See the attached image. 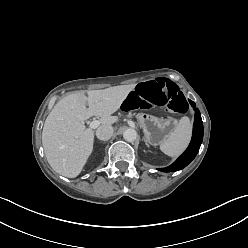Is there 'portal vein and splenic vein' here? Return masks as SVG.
<instances>
[{
	"label": "portal vein and splenic vein",
	"mask_w": 248,
	"mask_h": 248,
	"mask_svg": "<svg viewBox=\"0 0 248 248\" xmlns=\"http://www.w3.org/2000/svg\"><path fill=\"white\" fill-rule=\"evenodd\" d=\"M100 121L99 120H94V121H92L90 124H89V127L91 128V129H96L99 125H100Z\"/></svg>",
	"instance_id": "1"
}]
</instances>
